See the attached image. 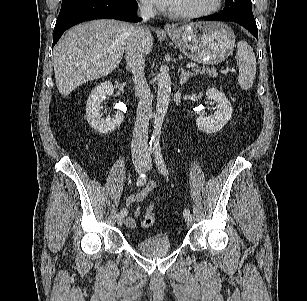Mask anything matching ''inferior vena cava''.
<instances>
[{
    "mask_svg": "<svg viewBox=\"0 0 307 301\" xmlns=\"http://www.w3.org/2000/svg\"><path fill=\"white\" fill-rule=\"evenodd\" d=\"M139 15L145 20L155 16V12L150 3H144L139 7ZM149 30L144 26L135 27L134 39L126 46V62L133 74L136 95L139 103L136 113V122L131 143L133 156L143 155L148 147V125L152 116V99L150 88L144 77L145 65V43Z\"/></svg>",
    "mask_w": 307,
    "mask_h": 301,
    "instance_id": "1",
    "label": "inferior vena cava"
}]
</instances>
